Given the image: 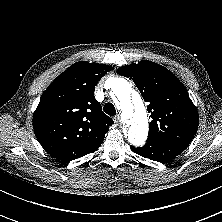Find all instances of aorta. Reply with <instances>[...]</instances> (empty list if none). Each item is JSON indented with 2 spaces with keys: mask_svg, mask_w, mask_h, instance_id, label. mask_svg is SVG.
<instances>
[{
  "mask_svg": "<svg viewBox=\"0 0 222 222\" xmlns=\"http://www.w3.org/2000/svg\"><path fill=\"white\" fill-rule=\"evenodd\" d=\"M112 92L118 100L124 121V132L129 142L135 146H142L148 135V119L145 107L138 97L136 103L131 100V84L122 78L113 81Z\"/></svg>",
  "mask_w": 222,
  "mask_h": 222,
  "instance_id": "762f6f07",
  "label": "aorta"
}]
</instances>
